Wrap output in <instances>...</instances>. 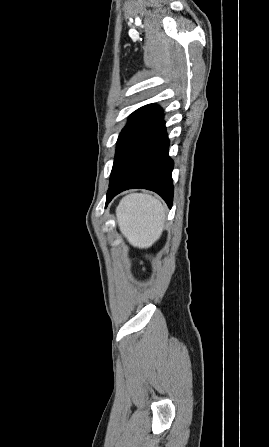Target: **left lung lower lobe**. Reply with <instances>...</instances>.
Masks as SVG:
<instances>
[{
  "mask_svg": "<svg viewBox=\"0 0 269 447\" xmlns=\"http://www.w3.org/2000/svg\"><path fill=\"white\" fill-rule=\"evenodd\" d=\"M169 140L162 120L130 153L109 183L106 205L120 192L144 188L158 193L169 208L173 201V160L168 155Z\"/></svg>",
  "mask_w": 269,
  "mask_h": 447,
  "instance_id": "left-lung-lower-lobe-1",
  "label": "left lung lower lobe"
}]
</instances>
